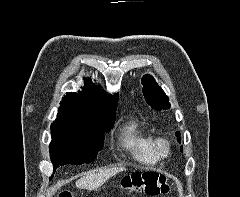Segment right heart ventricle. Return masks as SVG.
Returning <instances> with one entry per match:
<instances>
[{"instance_id": "obj_1", "label": "right heart ventricle", "mask_w": 240, "mask_h": 197, "mask_svg": "<svg viewBox=\"0 0 240 197\" xmlns=\"http://www.w3.org/2000/svg\"><path fill=\"white\" fill-rule=\"evenodd\" d=\"M154 138L141 123L128 121L120 135L121 146L130 153L132 158L145 165H155L159 158L153 147Z\"/></svg>"}]
</instances>
